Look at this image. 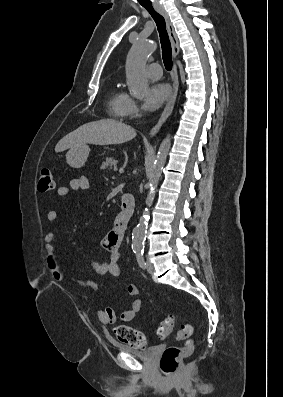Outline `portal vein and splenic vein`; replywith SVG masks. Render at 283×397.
<instances>
[{
	"instance_id": "portal-vein-and-splenic-vein-1",
	"label": "portal vein and splenic vein",
	"mask_w": 283,
	"mask_h": 397,
	"mask_svg": "<svg viewBox=\"0 0 283 397\" xmlns=\"http://www.w3.org/2000/svg\"><path fill=\"white\" fill-rule=\"evenodd\" d=\"M119 173H120V174H123V173H124V168H123V167H121V168L119 169Z\"/></svg>"
}]
</instances>
